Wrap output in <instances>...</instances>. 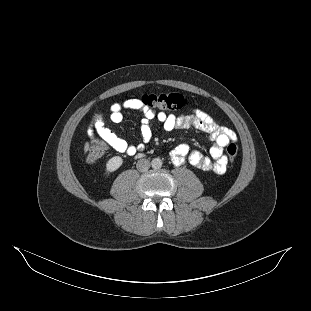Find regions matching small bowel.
Here are the masks:
<instances>
[{
    "mask_svg": "<svg viewBox=\"0 0 311 311\" xmlns=\"http://www.w3.org/2000/svg\"><path fill=\"white\" fill-rule=\"evenodd\" d=\"M123 110H134L142 114L141 135L143 143H148L152 138L151 122L153 120L160 122L166 132L182 128H193L208 134L213 141L210 157L203 156L196 151L191 152L189 146L183 143L174 148L171 158L177 164H182L187 159L193 167L200 170L213 171L217 174L226 172L228 159L224 154V148L236 141V134L232 130L219 125L208 113L195 109L190 115H166L162 112L156 113L142 100L133 98L112 104L110 107V120L115 124L121 123ZM87 133L93 140H96L95 135H98L102 142L120 153L134 155L143 148L142 144L135 146L128 143L107 128L104 124L103 114L100 112L93 115Z\"/></svg>",
    "mask_w": 311,
    "mask_h": 311,
    "instance_id": "small-bowel-1",
    "label": "small bowel"
}]
</instances>
